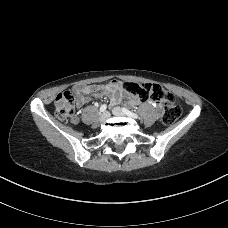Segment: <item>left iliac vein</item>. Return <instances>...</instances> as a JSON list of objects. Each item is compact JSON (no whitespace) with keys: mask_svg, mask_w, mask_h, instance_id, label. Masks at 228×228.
<instances>
[{"mask_svg":"<svg viewBox=\"0 0 228 228\" xmlns=\"http://www.w3.org/2000/svg\"><path fill=\"white\" fill-rule=\"evenodd\" d=\"M112 113L116 116H125L126 115L125 112L119 107L113 108Z\"/></svg>","mask_w":228,"mask_h":228,"instance_id":"1","label":"left iliac vein"}]
</instances>
